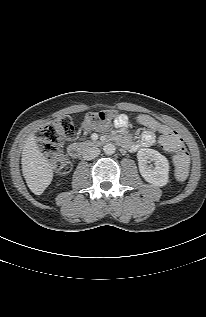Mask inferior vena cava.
<instances>
[{"instance_id":"1","label":"inferior vena cava","mask_w":206,"mask_h":317,"mask_svg":"<svg viewBox=\"0 0 206 317\" xmlns=\"http://www.w3.org/2000/svg\"><path fill=\"white\" fill-rule=\"evenodd\" d=\"M100 154V149L94 146H87L83 152L82 156L85 160H91Z\"/></svg>"}]
</instances>
